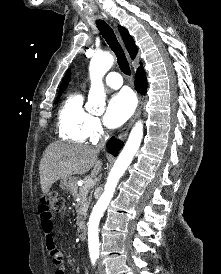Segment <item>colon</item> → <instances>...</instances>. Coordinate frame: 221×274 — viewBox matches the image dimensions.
Returning a JSON list of instances; mask_svg holds the SVG:
<instances>
[{
	"mask_svg": "<svg viewBox=\"0 0 221 274\" xmlns=\"http://www.w3.org/2000/svg\"><path fill=\"white\" fill-rule=\"evenodd\" d=\"M42 203L59 212L64 207V199L57 192H50L42 199Z\"/></svg>",
	"mask_w": 221,
	"mask_h": 274,
	"instance_id": "1",
	"label": "colon"
}]
</instances>
